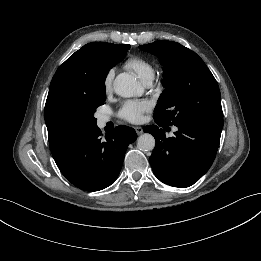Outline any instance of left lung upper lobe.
Listing matches in <instances>:
<instances>
[{"label":"left lung upper lobe","mask_w":261,"mask_h":261,"mask_svg":"<svg viewBox=\"0 0 261 261\" xmlns=\"http://www.w3.org/2000/svg\"><path fill=\"white\" fill-rule=\"evenodd\" d=\"M163 65L164 91L154 110L163 125L223 124L218 84L203 60L179 43L160 40L139 46Z\"/></svg>","instance_id":"5c2ea615"}]
</instances>
